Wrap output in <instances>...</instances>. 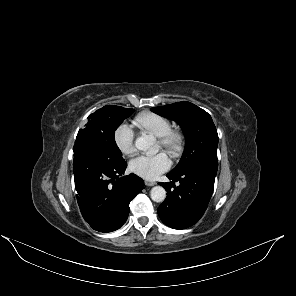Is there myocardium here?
<instances>
[{
    "instance_id": "1",
    "label": "myocardium",
    "mask_w": 296,
    "mask_h": 296,
    "mask_svg": "<svg viewBox=\"0 0 296 296\" xmlns=\"http://www.w3.org/2000/svg\"><path fill=\"white\" fill-rule=\"evenodd\" d=\"M160 147L172 157H179L184 149V135L178 129H170L165 135L158 138Z\"/></svg>"
}]
</instances>
